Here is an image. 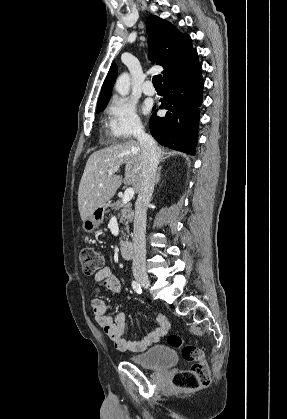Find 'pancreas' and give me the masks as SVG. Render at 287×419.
I'll list each match as a JSON object with an SVG mask.
<instances>
[{
    "mask_svg": "<svg viewBox=\"0 0 287 419\" xmlns=\"http://www.w3.org/2000/svg\"><path fill=\"white\" fill-rule=\"evenodd\" d=\"M111 209H114L115 211H120L117 213V216L120 218V222L124 224L125 230L127 233H129L130 226L129 224L133 221L134 212L132 210V204L131 203H123L122 201L114 202L113 204L109 205ZM123 237L124 239H128V236L124 233Z\"/></svg>",
    "mask_w": 287,
    "mask_h": 419,
    "instance_id": "obj_1",
    "label": "pancreas"
}]
</instances>
